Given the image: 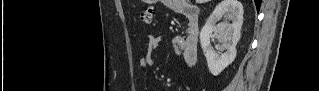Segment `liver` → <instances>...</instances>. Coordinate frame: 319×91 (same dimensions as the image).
Masks as SVG:
<instances>
[{
    "mask_svg": "<svg viewBox=\"0 0 319 91\" xmlns=\"http://www.w3.org/2000/svg\"><path fill=\"white\" fill-rule=\"evenodd\" d=\"M208 1H209V0H196V2L199 3V4L206 3V2H208Z\"/></svg>",
    "mask_w": 319,
    "mask_h": 91,
    "instance_id": "1",
    "label": "liver"
}]
</instances>
